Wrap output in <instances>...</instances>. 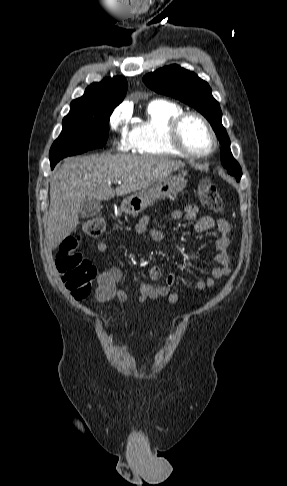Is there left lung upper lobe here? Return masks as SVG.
Returning <instances> with one entry per match:
<instances>
[{"label": "left lung upper lobe", "instance_id": "obj_1", "mask_svg": "<svg viewBox=\"0 0 287 486\" xmlns=\"http://www.w3.org/2000/svg\"><path fill=\"white\" fill-rule=\"evenodd\" d=\"M143 81L155 92L174 97L193 106L207 118L222 145L221 162L223 167L239 181L242 170L232 156L230 140L222 125V112L219 103L212 96V90L208 83L179 65H169L146 74Z\"/></svg>", "mask_w": 287, "mask_h": 486}]
</instances>
